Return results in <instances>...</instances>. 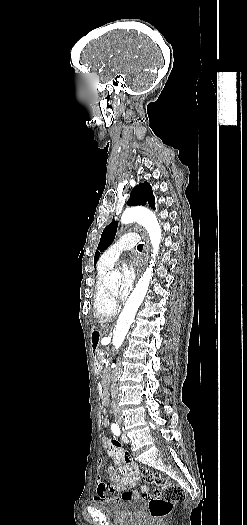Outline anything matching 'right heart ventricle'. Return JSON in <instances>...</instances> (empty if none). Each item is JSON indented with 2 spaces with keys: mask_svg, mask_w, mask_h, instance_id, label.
Here are the masks:
<instances>
[{
  "mask_svg": "<svg viewBox=\"0 0 247 525\" xmlns=\"http://www.w3.org/2000/svg\"><path fill=\"white\" fill-rule=\"evenodd\" d=\"M113 271L112 265H107L102 255L97 265L96 290L94 294L93 313L95 317H115L118 312V305H107L105 282L107 275Z\"/></svg>",
  "mask_w": 247,
  "mask_h": 525,
  "instance_id": "1",
  "label": "right heart ventricle"
}]
</instances>
